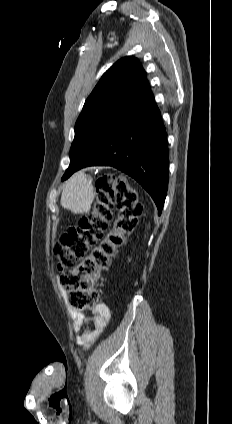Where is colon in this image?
I'll use <instances>...</instances> for the list:
<instances>
[{"instance_id": "obj_1", "label": "colon", "mask_w": 232, "mask_h": 424, "mask_svg": "<svg viewBox=\"0 0 232 424\" xmlns=\"http://www.w3.org/2000/svg\"><path fill=\"white\" fill-rule=\"evenodd\" d=\"M97 196L91 212L78 226L66 232L56 247L60 284L68 304L75 309L90 311L100 300L98 283L101 274L126 243L143 213L138 192L110 177L97 181ZM114 203L118 215L113 219Z\"/></svg>"}]
</instances>
